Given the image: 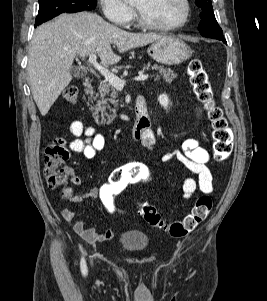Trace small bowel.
Listing matches in <instances>:
<instances>
[{"instance_id": "1", "label": "small bowel", "mask_w": 267, "mask_h": 301, "mask_svg": "<svg viewBox=\"0 0 267 301\" xmlns=\"http://www.w3.org/2000/svg\"><path fill=\"white\" fill-rule=\"evenodd\" d=\"M68 131L75 137L69 144L71 151L80 153L87 159L95 157L105 147V137L98 133L94 127L86 125L79 120L72 121ZM140 141L144 147L153 150L157 144V136L150 128L143 133ZM162 160L164 162L177 161L196 175L197 178L187 177L183 180L182 190L185 199L191 198L198 189L205 194L213 191V177L208 168L210 154L207 149L200 145L198 139H187L183 142L180 149L164 153ZM70 175L73 184L79 185L81 183V179L73 171H70ZM97 198L98 188L93 187L86 193L77 195L73 202L79 204L85 199ZM119 214L123 215L125 213L120 211ZM62 217L67 223L72 225L74 231L87 243L95 244L112 239L115 236V232L111 229L99 232L95 228L88 226L85 221L76 220L75 213L71 210H63Z\"/></svg>"}]
</instances>
